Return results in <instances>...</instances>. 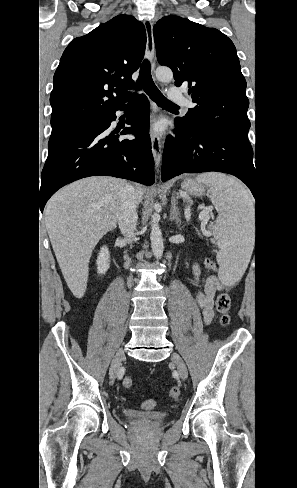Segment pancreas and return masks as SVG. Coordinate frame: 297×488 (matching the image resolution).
Segmentation results:
<instances>
[{
	"label": "pancreas",
	"mask_w": 297,
	"mask_h": 488,
	"mask_svg": "<svg viewBox=\"0 0 297 488\" xmlns=\"http://www.w3.org/2000/svg\"><path fill=\"white\" fill-rule=\"evenodd\" d=\"M204 223H205V219H203L202 226H204Z\"/></svg>",
	"instance_id": "cf45deb5"
}]
</instances>
